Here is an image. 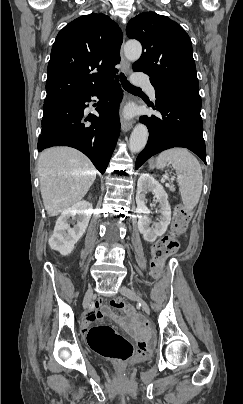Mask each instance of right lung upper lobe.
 Segmentation results:
<instances>
[{"label": "right lung upper lobe", "mask_w": 243, "mask_h": 404, "mask_svg": "<svg viewBox=\"0 0 243 404\" xmlns=\"http://www.w3.org/2000/svg\"><path fill=\"white\" fill-rule=\"evenodd\" d=\"M122 40L118 24L102 13L66 25L51 50L44 105L90 93L113 80Z\"/></svg>", "instance_id": "right-lung-upper-lobe-1"}]
</instances>
